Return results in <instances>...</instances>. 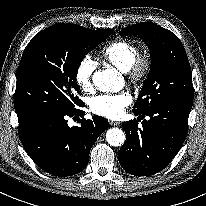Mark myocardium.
Masks as SVG:
<instances>
[{
  "mask_svg": "<svg viewBox=\"0 0 206 206\" xmlns=\"http://www.w3.org/2000/svg\"><path fill=\"white\" fill-rule=\"evenodd\" d=\"M152 68V58L148 52H138L127 71L130 80L133 83L144 81Z\"/></svg>",
  "mask_w": 206,
  "mask_h": 206,
  "instance_id": "obj_1",
  "label": "myocardium"
}]
</instances>
